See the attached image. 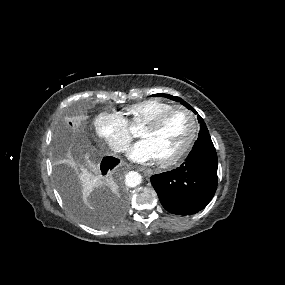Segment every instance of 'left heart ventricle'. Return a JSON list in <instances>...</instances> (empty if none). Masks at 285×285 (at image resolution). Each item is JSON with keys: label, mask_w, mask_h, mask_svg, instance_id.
Wrapping results in <instances>:
<instances>
[{"label": "left heart ventricle", "mask_w": 285, "mask_h": 285, "mask_svg": "<svg viewBox=\"0 0 285 285\" xmlns=\"http://www.w3.org/2000/svg\"><path fill=\"white\" fill-rule=\"evenodd\" d=\"M191 133V123L183 112H176L158 129L143 127L139 136L147 140L157 160L175 154L187 141Z\"/></svg>", "instance_id": "obj_1"}]
</instances>
